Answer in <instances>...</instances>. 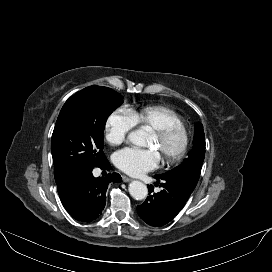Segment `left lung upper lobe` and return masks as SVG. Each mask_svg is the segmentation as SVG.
<instances>
[{"mask_svg":"<svg viewBox=\"0 0 272 272\" xmlns=\"http://www.w3.org/2000/svg\"><path fill=\"white\" fill-rule=\"evenodd\" d=\"M205 156V135L203 125L195 124L193 147L188 158L179 166L167 173L158 176L181 180L192 187H196L199 180L202 164Z\"/></svg>","mask_w":272,"mask_h":272,"instance_id":"1","label":"left lung upper lobe"}]
</instances>
